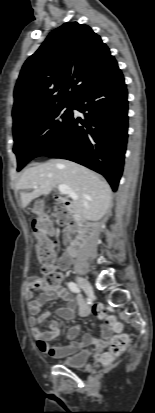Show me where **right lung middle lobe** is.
I'll use <instances>...</instances> for the list:
<instances>
[{
	"label": "right lung middle lobe",
	"instance_id": "dd1d6c3e",
	"mask_svg": "<svg viewBox=\"0 0 155 413\" xmlns=\"http://www.w3.org/2000/svg\"><path fill=\"white\" fill-rule=\"evenodd\" d=\"M72 109V103L63 104L13 126L18 171L60 136L73 114Z\"/></svg>",
	"mask_w": 155,
	"mask_h": 413
}]
</instances>
